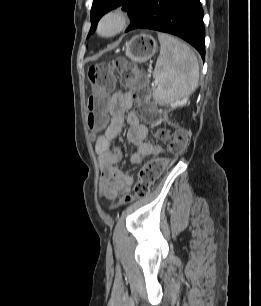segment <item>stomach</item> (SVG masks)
I'll return each mask as SVG.
<instances>
[{"mask_svg": "<svg viewBox=\"0 0 261 306\" xmlns=\"http://www.w3.org/2000/svg\"><path fill=\"white\" fill-rule=\"evenodd\" d=\"M157 43L147 34L134 36L126 43L125 54L136 63H143L151 59L156 53Z\"/></svg>", "mask_w": 261, "mask_h": 306, "instance_id": "0dacf381", "label": "stomach"}]
</instances>
